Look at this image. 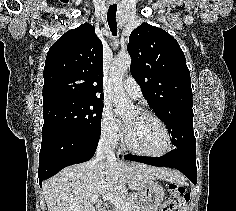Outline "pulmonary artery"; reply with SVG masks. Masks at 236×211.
I'll return each instance as SVG.
<instances>
[{
  "label": "pulmonary artery",
  "mask_w": 236,
  "mask_h": 211,
  "mask_svg": "<svg viewBox=\"0 0 236 211\" xmlns=\"http://www.w3.org/2000/svg\"><path fill=\"white\" fill-rule=\"evenodd\" d=\"M123 89L132 98H140L142 95L141 87L133 77H127L123 82Z\"/></svg>",
  "instance_id": "1"
}]
</instances>
